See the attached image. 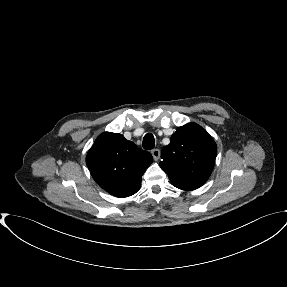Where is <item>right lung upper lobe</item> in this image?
Masks as SVG:
<instances>
[{
  "mask_svg": "<svg viewBox=\"0 0 287 287\" xmlns=\"http://www.w3.org/2000/svg\"><path fill=\"white\" fill-rule=\"evenodd\" d=\"M153 158L118 133L105 132L89 150L86 163L96 183L111 195L124 198L135 194L142 175Z\"/></svg>",
  "mask_w": 287,
  "mask_h": 287,
  "instance_id": "1",
  "label": "right lung upper lobe"
}]
</instances>
